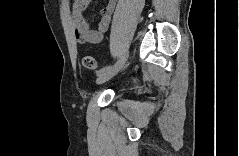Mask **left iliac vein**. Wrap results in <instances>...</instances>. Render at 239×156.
Instances as JSON below:
<instances>
[{"mask_svg": "<svg viewBox=\"0 0 239 156\" xmlns=\"http://www.w3.org/2000/svg\"><path fill=\"white\" fill-rule=\"evenodd\" d=\"M128 56L129 52L127 51L115 65L111 66L107 71L97 77L96 83L102 84L115 76L126 63Z\"/></svg>", "mask_w": 239, "mask_h": 156, "instance_id": "4c4485c4", "label": "left iliac vein"}]
</instances>
